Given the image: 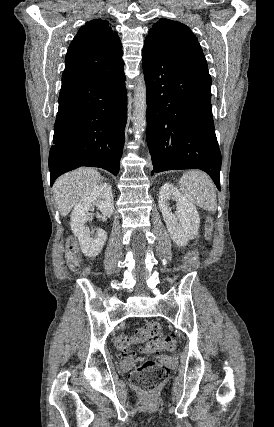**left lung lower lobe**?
Listing matches in <instances>:
<instances>
[{
  "label": "left lung lower lobe",
  "mask_w": 274,
  "mask_h": 427,
  "mask_svg": "<svg viewBox=\"0 0 274 427\" xmlns=\"http://www.w3.org/2000/svg\"><path fill=\"white\" fill-rule=\"evenodd\" d=\"M147 144L154 173L201 169L220 190L221 154L215 135L211 77L145 41Z\"/></svg>",
  "instance_id": "left-lung-lower-lobe-1"
}]
</instances>
